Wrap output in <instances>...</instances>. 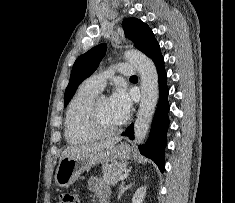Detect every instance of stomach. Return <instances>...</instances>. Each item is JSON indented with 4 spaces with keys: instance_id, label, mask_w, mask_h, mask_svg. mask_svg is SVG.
Wrapping results in <instances>:
<instances>
[{
    "instance_id": "obj_1",
    "label": "stomach",
    "mask_w": 235,
    "mask_h": 203,
    "mask_svg": "<svg viewBox=\"0 0 235 203\" xmlns=\"http://www.w3.org/2000/svg\"><path fill=\"white\" fill-rule=\"evenodd\" d=\"M131 154V147L121 143L111 148L97 152H86L62 158L55 174V182L59 187L67 188L72 185L85 170H89L97 163H115L125 161Z\"/></svg>"
}]
</instances>
